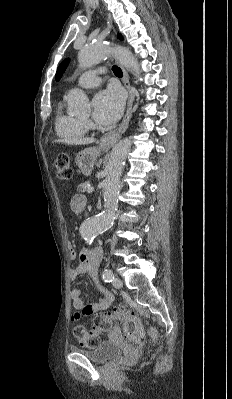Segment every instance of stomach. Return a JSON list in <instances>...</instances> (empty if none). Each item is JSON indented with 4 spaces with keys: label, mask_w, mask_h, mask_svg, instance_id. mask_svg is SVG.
I'll list each match as a JSON object with an SVG mask.
<instances>
[{
    "label": "stomach",
    "mask_w": 232,
    "mask_h": 399,
    "mask_svg": "<svg viewBox=\"0 0 232 399\" xmlns=\"http://www.w3.org/2000/svg\"><path fill=\"white\" fill-rule=\"evenodd\" d=\"M106 150L98 146V148H85V150L76 154L75 164L84 176H90L100 152H106Z\"/></svg>",
    "instance_id": "stomach-1"
}]
</instances>
